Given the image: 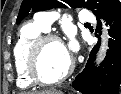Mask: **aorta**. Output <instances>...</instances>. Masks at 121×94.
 <instances>
[{
  "instance_id": "obj_1",
  "label": "aorta",
  "mask_w": 121,
  "mask_h": 94,
  "mask_svg": "<svg viewBox=\"0 0 121 94\" xmlns=\"http://www.w3.org/2000/svg\"><path fill=\"white\" fill-rule=\"evenodd\" d=\"M105 42H106V38H103V43H102V45H101V48H100V56H99V60H101V58H102V53H104L105 52V50H106V47H105Z\"/></svg>"
}]
</instances>
